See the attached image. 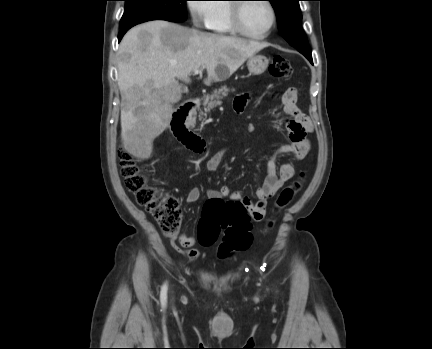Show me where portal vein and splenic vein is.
<instances>
[{
    "mask_svg": "<svg viewBox=\"0 0 432 349\" xmlns=\"http://www.w3.org/2000/svg\"><path fill=\"white\" fill-rule=\"evenodd\" d=\"M194 74L196 75L201 74V69L194 70Z\"/></svg>",
    "mask_w": 432,
    "mask_h": 349,
    "instance_id": "1",
    "label": "portal vein and splenic vein"
}]
</instances>
